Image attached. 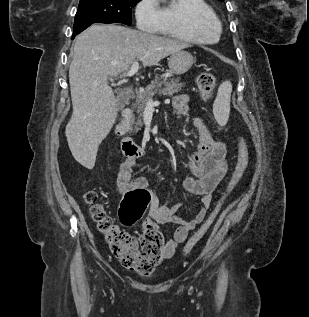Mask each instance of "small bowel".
Segmentation results:
<instances>
[{
  "label": "small bowel",
  "mask_w": 309,
  "mask_h": 317,
  "mask_svg": "<svg viewBox=\"0 0 309 317\" xmlns=\"http://www.w3.org/2000/svg\"><path fill=\"white\" fill-rule=\"evenodd\" d=\"M173 106L177 114L185 115L189 107V97L186 94L176 96L173 99ZM194 125L198 130L200 142L189 158L190 176L184 180L186 191L198 196L201 202V208L193 218L183 219L178 215L182 208L181 204L162 206L158 197L150 191L148 180L144 177L132 176L136 164L135 158L128 156L121 164L117 176V186L122 194L136 189L149 192L148 211L151 220L160 224L171 223L177 226L172 238L162 249L161 256L164 259L171 258L177 246L186 242L189 232L204 221L213 201V192L228 170L226 159L228 145L221 138L214 136L201 118H194Z\"/></svg>",
  "instance_id": "obj_1"
}]
</instances>
